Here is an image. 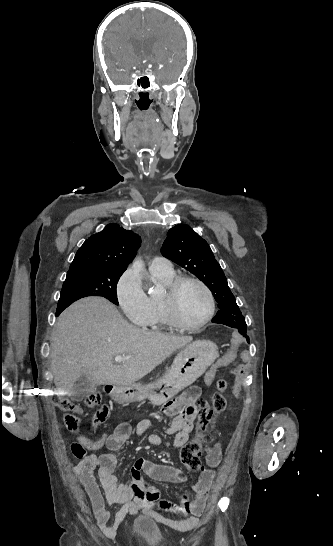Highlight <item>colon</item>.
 Segmentation results:
<instances>
[{
    "instance_id": "colon-1",
    "label": "colon",
    "mask_w": 333,
    "mask_h": 546,
    "mask_svg": "<svg viewBox=\"0 0 333 546\" xmlns=\"http://www.w3.org/2000/svg\"><path fill=\"white\" fill-rule=\"evenodd\" d=\"M234 371L236 372V377L232 378V386L241 394L243 392V383L239 379L243 378L244 368L238 367ZM227 387V382L224 379H219L216 382L217 392L211 397L210 405L203 399H198L196 401L195 409L197 412L198 431L191 441L182 446L180 452L182 462L191 472H197L202 468L200 456L209 448L212 438L211 430L215 418L226 408L227 402L222 393L227 390ZM56 401L59 409L67 412L61 420V425L70 432H77L80 426V419L76 415L81 412L79 405L68 397H59ZM85 403L89 407L100 405V394L91 393L87 395ZM109 415L110 407L107 404H102L93 417V425L99 426L103 424L108 419ZM181 501L182 504L188 505L190 503L189 496L184 494Z\"/></svg>"
}]
</instances>
